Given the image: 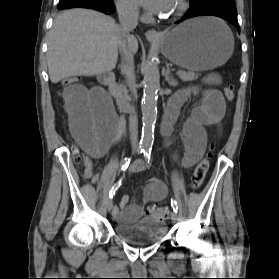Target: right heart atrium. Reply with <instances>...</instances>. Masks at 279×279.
I'll return each instance as SVG.
<instances>
[{
  "instance_id": "obj_1",
  "label": "right heart atrium",
  "mask_w": 279,
  "mask_h": 279,
  "mask_svg": "<svg viewBox=\"0 0 279 279\" xmlns=\"http://www.w3.org/2000/svg\"><path fill=\"white\" fill-rule=\"evenodd\" d=\"M119 13L126 18H135L139 15V8L135 0H116Z\"/></svg>"
}]
</instances>
